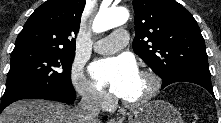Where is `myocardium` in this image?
<instances>
[{
    "label": "myocardium",
    "mask_w": 221,
    "mask_h": 123,
    "mask_svg": "<svg viewBox=\"0 0 221 123\" xmlns=\"http://www.w3.org/2000/svg\"><path fill=\"white\" fill-rule=\"evenodd\" d=\"M139 73L143 75L144 77H146L147 79H149L150 88L147 94L137 101L132 102V101L121 99L122 105L129 109H139L147 105L157 96L161 88V79L158 76V74H156L154 71L150 69H142Z\"/></svg>",
    "instance_id": "f54148a6"
}]
</instances>
